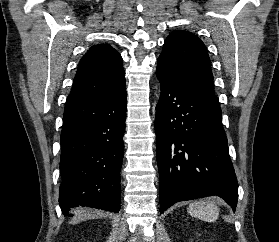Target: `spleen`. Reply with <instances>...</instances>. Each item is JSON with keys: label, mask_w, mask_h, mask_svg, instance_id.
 <instances>
[{"label": "spleen", "mask_w": 279, "mask_h": 242, "mask_svg": "<svg viewBox=\"0 0 279 242\" xmlns=\"http://www.w3.org/2000/svg\"><path fill=\"white\" fill-rule=\"evenodd\" d=\"M188 212L201 220L214 222L218 219L219 208L213 202L198 200L189 205Z\"/></svg>", "instance_id": "obj_1"}]
</instances>
